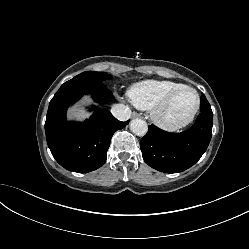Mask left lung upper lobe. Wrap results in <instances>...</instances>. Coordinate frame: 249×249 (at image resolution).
Returning <instances> with one entry per match:
<instances>
[{
  "instance_id": "5c2ea615",
  "label": "left lung upper lobe",
  "mask_w": 249,
  "mask_h": 249,
  "mask_svg": "<svg viewBox=\"0 0 249 249\" xmlns=\"http://www.w3.org/2000/svg\"><path fill=\"white\" fill-rule=\"evenodd\" d=\"M208 102V101H207ZM200 110L201 111H211V106H210V104L209 103H207V104H205L204 106H201V104H200Z\"/></svg>"
}]
</instances>
